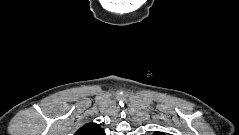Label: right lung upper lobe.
Wrapping results in <instances>:
<instances>
[{"instance_id":"right-lung-upper-lobe-1","label":"right lung upper lobe","mask_w":239,"mask_h":135,"mask_svg":"<svg viewBox=\"0 0 239 135\" xmlns=\"http://www.w3.org/2000/svg\"><path fill=\"white\" fill-rule=\"evenodd\" d=\"M75 135H105V133L100 125L91 122L79 128Z\"/></svg>"}]
</instances>
